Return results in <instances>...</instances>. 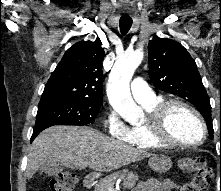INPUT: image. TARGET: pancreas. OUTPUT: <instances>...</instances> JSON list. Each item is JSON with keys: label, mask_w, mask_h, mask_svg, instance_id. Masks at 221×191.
<instances>
[{"label": "pancreas", "mask_w": 221, "mask_h": 191, "mask_svg": "<svg viewBox=\"0 0 221 191\" xmlns=\"http://www.w3.org/2000/svg\"><path fill=\"white\" fill-rule=\"evenodd\" d=\"M117 179H121L123 181V187L128 189L134 187L136 181L138 180V175L127 171L113 173L96 184L94 191H109V188L114 187Z\"/></svg>", "instance_id": "cf45deb5"}]
</instances>
